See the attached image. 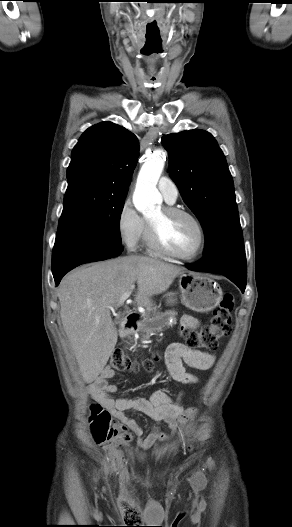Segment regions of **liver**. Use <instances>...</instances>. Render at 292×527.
Masks as SVG:
<instances>
[{
	"label": "liver",
	"mask_w": 292,
	"mask_h": 527,
	"mask_svg": "<svg viewBox=\"0 0 292 527\" xmlns=\"http://www.w3.org/2000/svg\"><path fill=\"white\" fill-rule=\"evenodd\" d=\"M183 271L154 258L130 255L79 267L62 279L61 321L86 383L103 371L117 343L110 308L137 282L135 302L149 309L152 296L165 292Z\"/></svg>",
	"instance_id": "obj_1"
}]
</instances>
